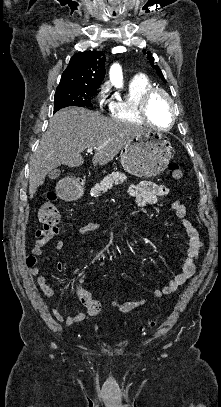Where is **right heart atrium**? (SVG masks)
Listing matches in <instances>:
<instances>
[{
	"label": "right heart atrium",
	"instance_id": "obj_1",
	"mask_svg": "<svg viewBox=\"0 0 221 407\" xmlns=\"http://www.w3.org/2000/svg\"><path fill=\"white\" fill-rule=\"evenodd\" d=\"M109 91H110L109 83L105 82L99 86L96 92L95 101L100 107H102L104 103L107 101Z\"/></svg>",
	"mask_w": 221,
	"mask_h": 407
}]
</instances>
